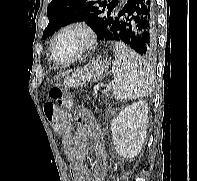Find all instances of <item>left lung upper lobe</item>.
Listing matches in <instances>:
<instances>
[{"label": "left lung upper lobe", "instance_id": "1", "mask_svg": "<svg viewBox=\"0 0 197 181\" xmlns=\"http://www.w3.org/2000/svg\"><path fill=\"white\" fill-rule=\"evenodd\" d=\"M119 7L118 0H52L47 8L49 24L43 39L62 26L80 21H85L101 39Z\"/></svg>", "mask_w": 197, "mask_h": 181}]
</instances>
